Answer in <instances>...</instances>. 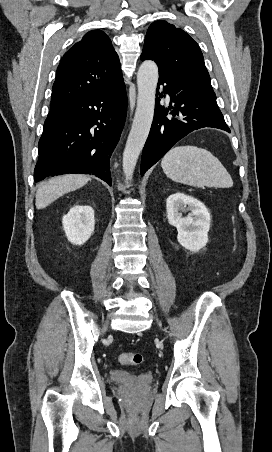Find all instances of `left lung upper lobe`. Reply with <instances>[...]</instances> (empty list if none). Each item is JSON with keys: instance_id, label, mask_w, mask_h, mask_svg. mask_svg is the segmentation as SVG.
Instances as JSON below:
<instances>
[{"instance_id": "5c2ea615", "label": "left lung upper lobe", "mask_w": 272, "mask_h": 452, "mask_svg": "<svg viewBox=\"0 0 272 452\" xmlns=\"http://www.w3.org/2000/svg\"><path fill=\"white\" fill-rule=\"evenodd\" d=\"M154 60L160 74H172L213 90L198 44L182 29L166 21L152 23L147 31L141 60Z\"/></svg>"}]
</instances>
